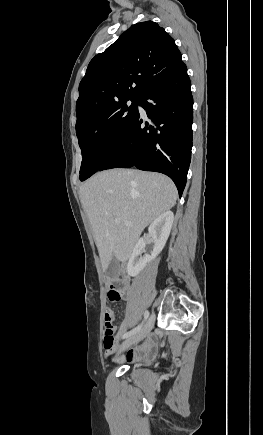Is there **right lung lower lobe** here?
I'll use <instances>...</instances> for the list:
<instances>
[{"label":"right lung lower lobe","instance_id":"98d812e1","mask_svg":"<svg viewBox=\"0 0 263 435\" xmlns=\"http://www.w3.org/2000/svg\"><path fill=\"white\" fill-rule=\"evenodd\" d=\"M182 63L140 98L149 122L138 113L134 124L99 171L137 167L166 174L181 197L191 161L193 98Z\"/></svg>","mask_w":263,"mask_h":435}]
</instances>
